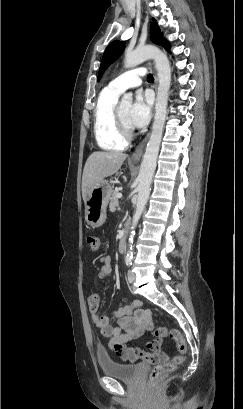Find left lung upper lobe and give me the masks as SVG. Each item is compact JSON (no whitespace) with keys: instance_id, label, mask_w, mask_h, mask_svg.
Masks as SVG:
<instances>
[{"instance_id":"left-lung-upper-lobe-1","label":"left lung upper lobe","mask_w":243,"mask_h":409,"mask_svg":"<svg viewBox=\"0 0 243 409\" xmlns=\"http://www.w3.org/2000/svg\"><path fill=\"white\" fill-rule=\"evenodd\" d=\"M152 20L153 22L151 23V40L155 44L162 45L166 50L169 51L170 44L165 39L162 38V34L156 20L155 19ZM123 50L124 43L118 40L111 42L107 46L101 61L98 80L101 78L102 74L107 69V67L122 54Z\"/></svg>"}]
</instances>
